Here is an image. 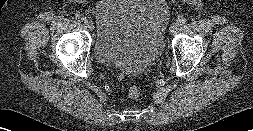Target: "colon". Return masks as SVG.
I'll return each instance as SVG.
<instances>
[{
	"label": "colon",
	"mask_w": 253,
	"mask_h": 131,
	"mask_svg": "<svg viewBox=\"0 0 253 131\" xmlns=\"http://www.w3.org/2000/svg\"><path fill=\"white\" fill-rule=\"evenodd\" d=\"M127 82L129 83L127 94L130 98L136 99L140 95V90L135 83V79L133 77H128Z\"/></svg>",
	"instance_id": "1"
}]
</instances>
